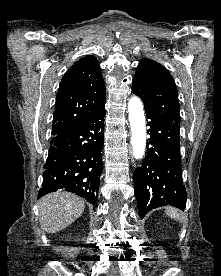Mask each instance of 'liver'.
Masks as SVG:
<instances>
[{"instance_id": "6515ba94", "label": "liver", "mask_w": 221, "mask_h": 276, "mask_svg": "<svg viewBox=\"0 0 221 276\" xmlns=\"http://www.w3.org/2000/svg\"><path fill=\"white\" fill-rule=\"evenodd\" d=\"M84 209V200L73 193H50L39 201L41 228L47 233H57L78 219Z\"/></svg>"}]
</instances>
